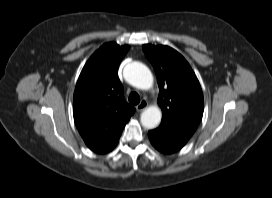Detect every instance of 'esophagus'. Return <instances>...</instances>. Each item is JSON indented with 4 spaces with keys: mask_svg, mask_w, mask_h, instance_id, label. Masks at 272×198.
Returning a JSON list of instances; mask_svg holds the SVG:
<instances>
[{
    "mask_svg": "<svg viewBox=\"0 0 272 198\" xmlns=\"http://www.w3.org/2000/svg\"><path fill=\"white\" fill-rule=\"evenodd\" d=\"M148 106V103L146 100H142L137 106H136V110L138 112L143 111L146 107Z\"/></svg>",
    "mask_w": 272,
    "mask_h": 198,
    "instance_id": "1",
    "label": "esophagus"
}]
</instances>
